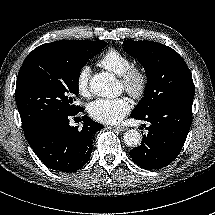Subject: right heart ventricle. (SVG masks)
<instances>
[{
	"label": "right heart ventricle",
	"mask_w": 215,
	"mask_h": 215,
	"mask_svg": "<svg viewBox=\"0 0 215 215\" xmlns=\"http://www.w3.org/2000/svg\"><path fill=\"white\" fill-rule=\"evenodd\" d=\"M98 65L120 76L131 65V60L124 52L111 48L100 57Z\"/></svg>",
	"instance_id": "e07e8e85"
}]
</instances>
